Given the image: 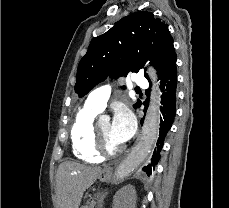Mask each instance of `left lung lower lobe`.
<instances>
[{
    "label": "left lung lower lobe",
    "mask_w": 229,
    "mask_h": 208,
    "mask_svg": "<svg viewBox=\"0 0 229 208\" xmlns=\"http://www.w3.org/2000/svg\"><path fill=\"white\" fill-rule=\"evenodd\" d=\"M160 84H161L160 89L163 93L161 96L162 106L160 107L162 117L160 119L161 123H160V132L157 141V146L153 152L150 164L143 168V170L147 173L148 176L151 174L152 168H154L159 161L160 151L163 146L165 135L170 130L172 123L174 121V116L176 112V87H177L176 60L171 63L168 71L161 79ZM143 105L146 106L144 109V113H145L148 106V100L143 102Z\"/></svg>",
    "instance_id": "1"
}]
</instances>
